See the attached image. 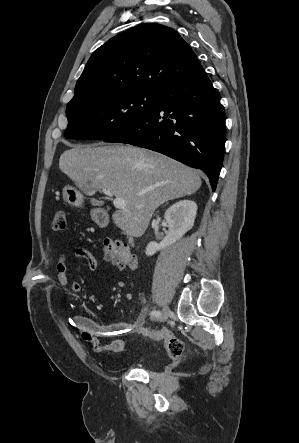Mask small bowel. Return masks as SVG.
I'll use <instances>...</instances> for the list:
<instances>
[{"instance_id": "obj_1", "label": "small bowel", "mask_w": 299, "mask_h": 443, "mask_svg": "<svg viewBox=\"0 0 299 443\" xmlns=\"http://www.w3.org/2000/svg\"><path fill=\"white\" fill-rule=\"evenodd\" d=\"M76 256L87 262L90 271L95 272L98 269L97 259L86 249L79 248L76 250ZM58 285L61 289H70L74 293H80L81 285L71 274L67 264V254H60L59 262L56 267ZM149 313V308L144 307L137 320L133 324L126 322H115L109 325H103L99 322L84 316L82 314H74L72 321L80 333L81 338L92 346V350L96 354H114L122 353L125 350V342L119 338L128 333H136L143 335L142 323ZM106 337V341L102 342L99 338Z\"/></svg>"}]
</instances>
